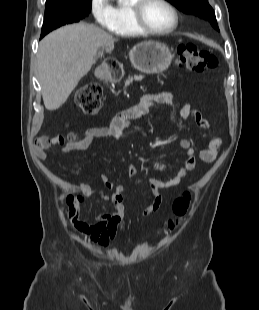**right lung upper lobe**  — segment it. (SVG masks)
I'll return each instance as SVG.
<instances>
[{
	"label": "right lung upper lobe",
	"instance_id": "cb5924a9",
	"mask_svg": "<svg viewBox=\"0 0 259 310\" xmlns=\"http://www.w3.org/2000/svg\"><path fill=\"white\" fill-rule=\"evenodd\" d=\"M77 1H86V0H46V4H55V3H60V2H77Z\"/></svg>",
	"mask_w": 259,
	"mask_h": 310
}]
</instances>
